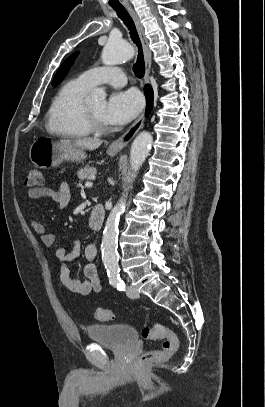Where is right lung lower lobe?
<instances>
[{
	"label": "right lung lower lobe",
	"mask_w": 265,
	"mask_h": 407,
	"mask_svg": "<svg viewBox=\"0 0 265 407\" xmlns=\"http://www.w3.org/2000/svg\"><path fill=\"white\" fill-rule=\"evenodd\" d=\"M145 96L147 99V112L149 113L152 109V101H153V90L149 85H146L144 88Z\"/></svg>",
	"instance_id": "obj_1"
}]
</instances>
